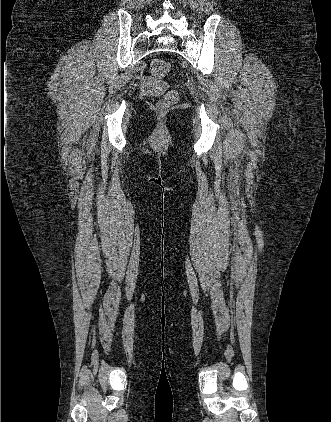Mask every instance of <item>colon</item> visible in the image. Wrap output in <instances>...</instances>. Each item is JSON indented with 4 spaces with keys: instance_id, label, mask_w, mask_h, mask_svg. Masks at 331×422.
<instances>
[{
    "instance_id": "5ec220e1",
    "label": "colon",
    "mask_w": 331,
    "mask_h": 422,
    "mask_svg": "<svg viewBox=\"0 0 331 422\" xmlns=\"http://www.w3.org/2000/svg\"><path fill=\"white\" fill-rule=\"evenodd\" d=\"M170 71V66L168 62L162 59H156L151 64V73L155 77H164ZM177 100V95L175 92L166 93L162 99L158 102L157 107L159 110H166L171 105H173Z\"/></svg>"
}]
</instances>
